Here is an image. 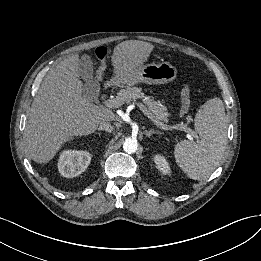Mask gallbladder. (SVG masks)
<instances>
[{"instance_id":"1","label":"gallbladder","mask_w":261,"mask_h":261,"mask_svg":"<svg viewBox=\"0 0 261 261\" xmlns=\"http://www.w3.org/2000/svg\"><path fill=\"white\" fill-rule=\"evenodd\" d=\"M80 77L85 81L82 90L85 97L92 100L98 95L99 84L93 76V63L89 56H82L78 62Z\"/></svg>"}]
</instances>
